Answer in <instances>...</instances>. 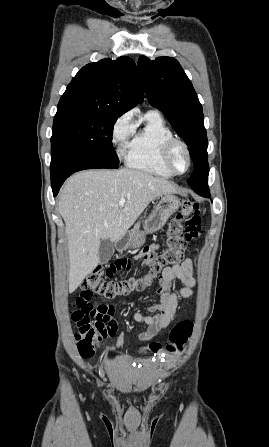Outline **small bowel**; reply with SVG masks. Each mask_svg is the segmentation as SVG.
Wrapping results in <instances>:
<instances>
[{
    "label": "small bowel",
    "instance_id": "c3829d8e",
    "mask_svg": "<svg viewBox=\"0 0 269 447\" xmlns=\"http://www.w3.org/2000/svg\"><path fill=\"white\" fill-rule=\"evenodd\" d=\"M154 245V249H158ZM175 281H180L183 287L180 290L174 288ZM196 280L193 277V263L187 258L183 263L165 268L162 272L160 285L157 289L159 300L151 304L148 308L153 315H143L140 312L133 314V319L147 325V330L139 334L141 341H148L156 336L160 331L168 327L178 308L179 299L190 298L194 295L193 287ZM121 343L107 346L109 353H115Z\"/></svg>",
    "mask_w": 269,
    "mask_h": 447
}]
</instances>
